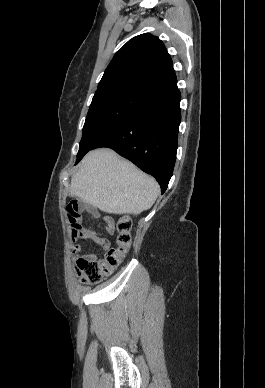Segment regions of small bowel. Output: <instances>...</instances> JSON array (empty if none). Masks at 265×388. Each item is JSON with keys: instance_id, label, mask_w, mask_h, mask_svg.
Masks as SVG:
<instances>
[{"instance_id": "small-bowel-1", "label": "small bowel", "mask_w": 265, "mask_h": 388, "mask_svg": "<svg viewBox=\"0 0 265 388\" xmlns=\"http://www.w3.org/2000/svg\"><path fill=\"white\" fill-rule=\"evenodd\" d=\"M89 215L91 217H93V218H98L100 216L99 213L97 211H95V210H89ZM103 221H104V224H105L106 231L109 234H112L114 232V229H115L113 221L110 218H108V217H104ZM87 239L95 242L101 249L106 250L109 247V242L105 238H102V237L98 236L93 231H88ZM78 251H80V247L79 246H75L74 247V252H78ZM82 257L90 259V260H96V255L92 254V253L86 254V255H84Z\"/></svg>"}]
</instances>
